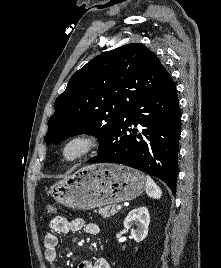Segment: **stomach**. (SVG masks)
Segmentation results:
<instances>
[{"label": "stomach", "mask_w": 221, "mask_h": 268, "mask_svg": "<svg viewBox=\"0 0 221 268\" xmlns=\"http://www.w3.org/2000/svg\"><path fill=\"white\" fill-rule=\"evenodd\" d=\"M146 188L143 173L117 164H96L80 168L50 189L60 204L79 210L132 200Z\"/></svg>", "instance_id": "stomach-1"}]
</instances>
